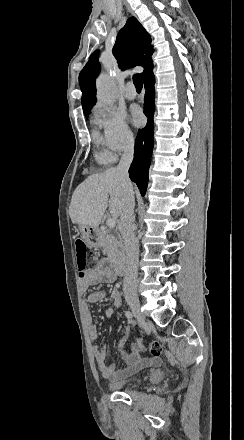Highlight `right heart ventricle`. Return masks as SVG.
Instances as JSON below:
<instances>
[{
	"label": "right heart ventricle",
	"mask_w": 244,
	"mask_h": 440,
	"mask_svg": "<svg viewBox=\"0 0 244 440\" xmlns=\"http://www.w3.org/2000/svg\"><path fill=\"white\" fill-rule=\"evenodd\" d=\"M92 136L95 144L99 146H103L104 144L103 135H101L96 128H93ZM98 159L102 161H111L113 160V157L108 152L101 150L98 154Z\"/></svg>",
	"instance_id": "right-heart-ventricle-1"
}]
</instances>
